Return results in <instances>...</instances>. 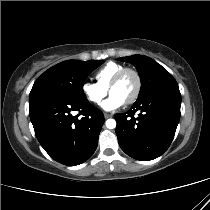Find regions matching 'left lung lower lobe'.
<instances>
[{"label": "left lung lower lobe", "mask_w": 210, "mask_h": 210, "mask_svg": "<svg viewBox=\"0 0 210 210\" xmlns=\"http://www.w3.org/2000/svg\"><path fill=\"white\" fill-rule=\"evenodd\" d=\"M180 105L179 88H167L137 100L127 113L115 114L116 134L122 150L141 161L162 155L173 140ZM136 112L139 115L134 117Z\"/></svg>", "instance_id": "left-lung-lower-lobe-1"}]
</instances>
